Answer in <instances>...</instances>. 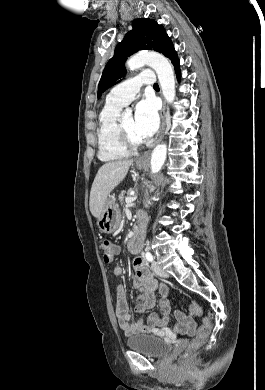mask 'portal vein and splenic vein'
<instances>
[{"instance_id": "18ae733b", "label": "portal vein and splenic vein", "mask_w": 265, "mask_h": 390, "mask_svg": "<svg viewBox=\"0 0 265 390\" xmlns=\"http://www.w3.org/2000/svg\"><path fill=\"white\" fill-rule=\"evenodd\" d=\"M136 199H137V196L127 197V198L125 199V201H126L127 204H130V203H132L133 201H135Z\"/></svg>"}]
</instances>
